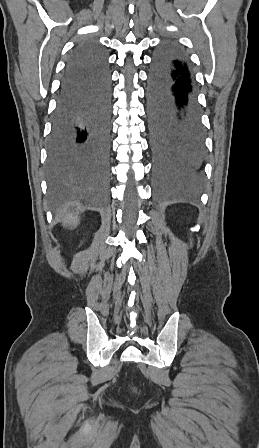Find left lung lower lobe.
<instances>
[{
    "label": "left lung lower lobe",
    "mask_w": 259,
    "mask_h": 448,
    "mask_svg": "<svg viewBox=\"0 0 259 448\" xmlns=\"http://www.w3.org/2000/svg\"><path fill=\"white\" fill-rule=\"evenodd\" d=\"M148 132L154 176L165 189H190L201 181L204 131L186 54L172 43L153 56L147 85Z\"/></svg>",
    "instance_id": "left-lung-lower-lobe-1"
}]
</instances>
